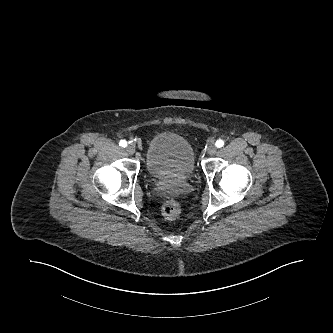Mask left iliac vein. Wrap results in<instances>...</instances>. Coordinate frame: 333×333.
<instances>
[{
    "label": "left iliac vein",
    "mask_w": 333,
    "mask_h": 333,
    "mask_svg": "<svg viewBox=\"0 0 333 333\" xmlns=\"http://www.w3.org/2000/svg\"><path fill=\"white\" fill-rule=\"evenodd\" d=\"M217 152V148L214 144H210L208 147H207V153L211 156L215 155Z\"/></svg>",
    "instance_id": "1"
}]
</instances>
